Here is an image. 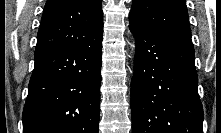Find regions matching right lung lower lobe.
<instances>
[{
    "instance_id": "98d812e1",
    "label": "right lung lower lobe",
    "mask_w": 221,
    "mask_h": 133,
    "mask_svg": "<svg viewBox=\"0 0 221 133\" xmlns=\"http://www.w3.org/2000/svg\"><path fill=\"white\" fill-rule=\"evenodd\" d=\"M102 38L35 53L24 133H98Z\"/></svg>"
}]
</instances>
